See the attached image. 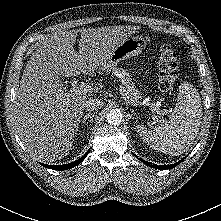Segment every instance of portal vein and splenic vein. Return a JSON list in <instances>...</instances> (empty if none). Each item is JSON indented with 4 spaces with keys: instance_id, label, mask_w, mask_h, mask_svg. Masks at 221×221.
Masks as SVG:
<instances>
[{
    "instance_id": "obj_1",
    "label": "portal vein and splenic vein",
    "mask_w": 221,
    "mask_h": 221,
    "mask_svg": "<svg viewBox=\"0 0 221 221\" xmlns=\"http://www.w3.org/2000/svg\"><path fill=\"white\" fill-rule=\"evenodd\" d=\"M72 90L78 94H87V93H91L93 91V88L91 85L81 83L80 85L72 84ZM120 92L123 96H127L126 90L123 87H120ZM133 104L137 105V103H133ZM151 110L156 112L157 114H161L158 103L154 107L152 106Z\"/></svg>"
}]
</instances>
